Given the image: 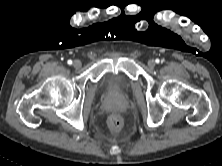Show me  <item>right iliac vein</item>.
<instances>
[{"instance_id":"1","label":"right iliac vein","mask_w":222,"mask_h":166,"mask_svg":"<svg viewBox=\"0 0 222 166\" xmlns=\"http://www.w3.org/2000/svg\"><path fill=\"white\" fill-rule=\"evenodd\" d=\"M81 61L80 60H75L74 62H73V66H74V68H76V69H79L80 67H81Z\"/></svg>"}]
</instances>
